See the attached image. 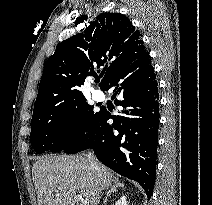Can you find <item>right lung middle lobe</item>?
<instances>
[{
  "instance_id": "obj_1",
  "label": "right lung middle lobe",
  "mask_w": 212,
  "mask_h": 205,
  "mask_svg": "<svg viewBox=\"0 0 212 205\" xmlns=\"http://www.w3.org/2000/svg\"><path fill=\"white\" fill-rule=\"evenodd\" d=\"M99 112L83 98L58 106L33 110L30 142L37 154L47 150L57 152L79 140L94 124Z\"/></svg>"
}]
</instances>
